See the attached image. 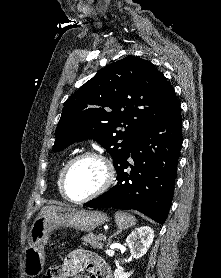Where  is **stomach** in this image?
<instances>
[{
	"instance_id": "1",
	"label": "stomach",
	"mask_w": 221,
	"mask_h": 278,
	"mask_svg": "<svg viewBox=\"0 0 221 278\" xmlns=\"http://www.w3.org/2000/svg\"><path fill=\"white\" fill-rule=\"evenodd\" d=\"M108 220L106 214L99 211L70 210L61 213H42L34 220L28 233L26 249V275H42L44 272L43 248L52 232L73 228L80 231H92Z\"/></svg>"
}]
</instances>
